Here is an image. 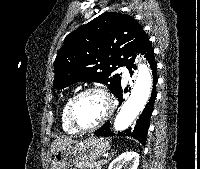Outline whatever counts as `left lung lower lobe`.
I'll use <instances>...</instances> for the list:
<instances>
[{
  "mask_svg": "<svg viewBox=\"0 0 200 169\" xmlns=\"http://www.w3.org/2000/svg\"><path fill=\"white\" fill-rule=\"evenodd\" d=\"M145 57L147 58L150 68L152 70L153 75V89L151 93V97L149 99V102L145 106L144 111L139 116V119L136 121V125L134 128H129L127 130H124L123 132L119 133V136H131L135 139H137L139 142L145 146L146 144V136L149 129L150 124V116L153 111L154 106V100L156 98V83L158 81L157 75H156V69H157V63L154 59V50L151 47V45L148 47L145 53ZM136 69V65H132L129 67V72L131 75H133L134 71L132 70ZM120 102H122L124 99L122 98V89L120 88L115 94H114ZM97 136H112L114 133L110 130V121H108L106 124H104L100 129H98L95 133Z\"/></svg>",
  "mask_w": 200,
  "mask_h": 169,
  "instance_id": "1",
  "label": "left lung lower lobe"
}]
</instances>
